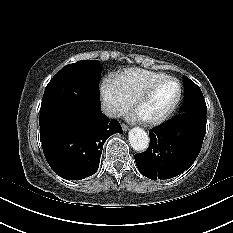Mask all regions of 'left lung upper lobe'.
Returning a JSON list of instances; mask_svg holds the SVG:
<instances>
[{"mask_svg":"<svg viewBox=\"0 0 233 233\" xmlns=\"http://www.w3.org/2000/svg\"><path fill=\"white\" fill-rule=\"evenodd\" d=\"M185 97L184 104L181 106V113L196 112L206 113V103L200 88L189 78L184 76Z\"/></svg>","mask_w":233,"mask_h":233,"instance_id":"left-lung-upper-lobe-1","label":"left lung upper lobe"}]
</instances>
